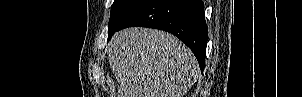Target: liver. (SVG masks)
Instances as JSON below:
<instances>
[{"instance_id": "liver-1", "label": "liver", "mask_w": 302, "mask_h": 97, "mask_svg": "<svg viewBox=\"0 0 302 97\" xmlns=\"http://www.w3.org/2000/svg\"><path fill=\"white\" fill-rule=\"evenodd\" d=\"M109 64L118 97H184L199 73L191 50L160 30L127 28L112 37Z\"/></svg>"}]
</instances>
